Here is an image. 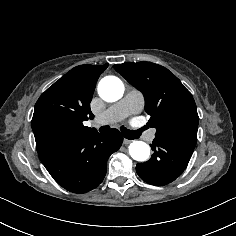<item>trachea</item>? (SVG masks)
<instances>
[{"mask_svg":"<svg viewBox=\"0 0 236 236\" xmlns=\"http://www.w3.org/2000/svg\"><path fill=\"white\" fill-rule=\"evenodd\" d=\"M110 130V127L108 125L106 126H101L99 131L101 133H107ZM143 131V129H139V130H128L125 127H121V132L123 134V136L127 139H137L140 137L141 132Z\"/></svg>","mask_w":236,"mask_h":236,"instance_id":"trachea-1","label":"trachea"}]
</instances>
